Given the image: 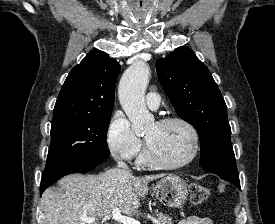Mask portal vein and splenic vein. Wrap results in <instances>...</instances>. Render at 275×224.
Returning a JSON list of instances; mask_svg holds the SVG:
<instances>
[{
	"label": "portal vein and splenic vein",
	"mask_w": 275,
	"mask_h": 224,
	"mask_svg": "<svg viewBox=\"0 0 275 224\" xmlns=\"http://www.w3.org/2000/svg\"><path fill=\"white\" fill-rule=\"evenodd\" d=\"M105 218H111L122 224H140L139 221L135 220L134 218L127 217L121 214L119 209H114L110 216H106ZM88 224H92L96 219L95 218H82Z\"/></svg>",
	"instance_id": "1"
}]
</instances>
